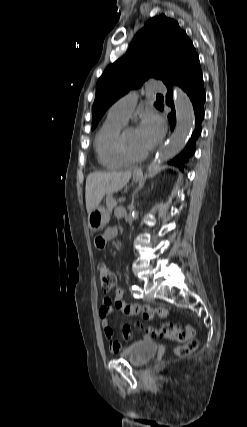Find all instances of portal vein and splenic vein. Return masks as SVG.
<instances>
[{
  "mask_svg": "<svg viewBox=\"0 0 247 427\" xmlns=\"http://www.w3.org/2000/svg\"><path fill=\"white\" fill-rule=\"evenodd\" d=\"M126 199H125V197H120L119 199H118V201L119 202H124Z\"/></svg>",
  "mask_w": 247,
  "mask_h": 427,
  "instance_id": "1",
  "label": "portal vein and splenic vein"
}]
</instances>
